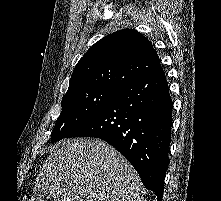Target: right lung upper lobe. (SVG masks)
I'll return each instance as SVG.
<instances>
[{
	"label": "right lung upper lobe",
	"mask_w": 221,
	"mask_h": 201,
	"mask_svg": "<svg viewBox=\"0 0 221 201\" xmlns=\"http://www.w3.org/2000/svg\"><path fill=\"white\" fill-rule=\"evenodd\" d=\"M160 66L150 41L123 29L94 44L77 63L67 92L88 87L120 90Z\"/></svg>",
	"instance_id": "obj_1"
}]
</instances>
